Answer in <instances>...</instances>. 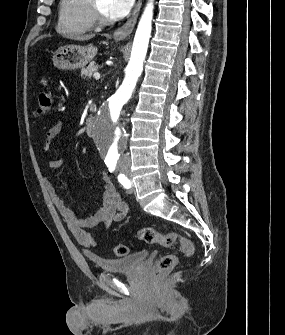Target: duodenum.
Instances as JSON below:
<instances>
[{"label": "duodenum", "mask_w": 285, "mask_h": 335, "mask_svg": "<svg viewBox=\"0 0 285 335\" xmlns=\"http://www.w3.org/2000/svg\"><path fill=\"white\" fill-rule=\"evenodd\" d=\"M94 122V119L91 117L86 120L85 128L88 134H91L93 132Z\"/></svg>", "instance_id": "obj_1"}]
</instances>
